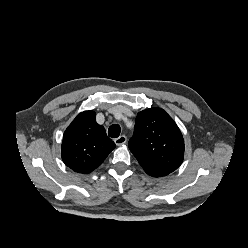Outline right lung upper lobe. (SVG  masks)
<instances>
[{"instance_id":"obj_1","label":"right lung upper lobe","mask_w":248,"mask_h":248,"mask_svg":"<svg viewBox=\"0 0 248 248\" xmlns=\"http://www.w3.org/2000/svg\"><path fill=\"white\" fill-rule=\"evenodd\" d=\"M94 111H84L73 120L63 135L62 160L78 173L88 174L102 164L115 148Z\"/></svg>"}]
</instances>
